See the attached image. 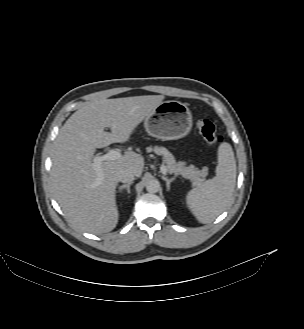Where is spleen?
Listing matches in <instances>:
<instances>
[{"instance_id":"spleen-1","label":"spleen","mask_w":304,"mask_h":329,"mask_svg":"<svg viewBox=\"0 0 304 329\" xmlns=\"http://www.w3.org/2000/svg\"><path fill=\"white\" fill-rule=\"evenodd\" d=\"M235 183L234 152L232 146L224 142L218 148L216 176L188 192L187 206L200 223H210L230 204Z\"/></svg>"}]
</instances>
